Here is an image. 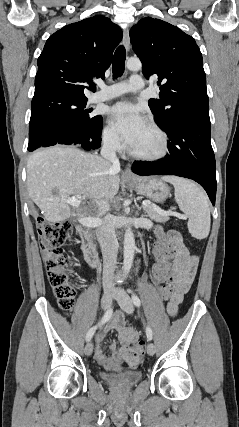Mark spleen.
<instances>
[{
    "mask_svg": "<svg viewBox=\"0 0 239 427\" xmlns=\"http://www.w3.org/2000/svg\"><path fill=\"white\" fill-rule=\"evenodd\" d=\"M175 189V200L188 218V230L196 239H204L210 232V208L205 192L194 182L177 176H164Z\"/></svg>",
    "mask_w": 239,
    "mask_h": 427,
    "instance_id": "spleen-1",
    "label": "spleen"
}]
</instances>
